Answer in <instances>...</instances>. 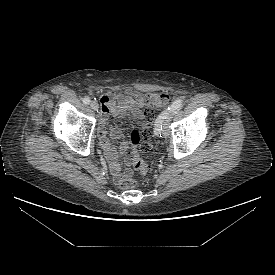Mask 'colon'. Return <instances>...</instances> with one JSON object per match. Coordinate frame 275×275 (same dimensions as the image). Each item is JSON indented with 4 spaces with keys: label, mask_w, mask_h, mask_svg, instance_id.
<instances>
[{
    "label": "colon",
    "mask_w": 275,
    "mask_h": 275,
    "mask_svg": "<svg viewBox=\"0 0 275 275\" xmlns=\"http://www.w3.org/2000/svg\"><path fill=\"white\" fill-rule=\"evenodd\" d=\"M169 96L166 93H151L145 96L144 101L147 108L144 110V118L147 124L142 128L133 129L130 132V141L133 147V165L134 168L140 173H147L151 166L149 163L144 162L140 156L139 151L146 152L152 148L151 130L149 123L153 120V108H160L167 104ZM137 184L136 179L127 178L123 180L119 185L125 189H131Z\"/></svg>",
    "instance_id": "1"
}]
</instances>
